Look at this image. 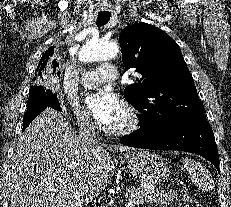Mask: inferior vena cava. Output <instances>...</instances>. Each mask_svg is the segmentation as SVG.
I'll use <instances>...</instances> for the list:
<instances>
[{"instance_id":"inferior-vena-cava-1","label":"inferior vena cava","mask_w":231,"mask_h":207,"mask_svg":"<svg viewBox=\"0 0 231 207\" xmlns=\"http://www.w3.org/2000/svg\"><path fill=\"white\" fill-rule=\"evenodd\" d=\"M80 146L84 150L94 151L98 147L96 139L95 125L88 116H83L79 122V133L77 135ZM87 192H89L87 190ZM91 191L89 192V196Z\"/></svg>"}]
</instances>
